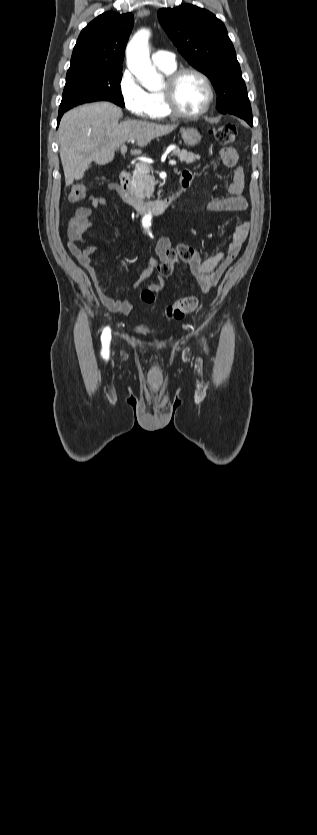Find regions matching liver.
Returning a JSON list of instances; mask_svg holds the SVG:
<instances>
[{
  "mask_svg": "<svg viewBox=\"0 0 317 835\" xmlns=\"http://www.w3.org/2000/svg\"><path fill=\"white\" fill-rule=\"evenodd\" d=\"M122 110L110 102H96L78 106L64 114L58 130L60 158L67 186L83 178L94 161L105 165L114 158L115 151L128 140L140 148L154 138L175 130L178 124H156L141 120H127L119 124ZM140 149L131 150L139 155Z\"/></svg>",
  "mask_w": 317,
  "mask_h": 835,
  "instance_id": "liver-1",
  "label": "liver"
}]
</instances>
